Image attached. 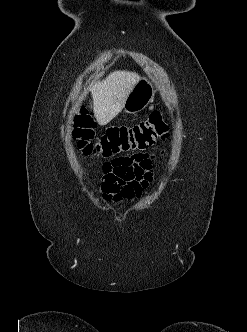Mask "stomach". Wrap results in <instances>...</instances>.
Listing matches in <instances>:
<instances>
[{
  "mask_svg": "<svg viewBox=\"0 0 247 332\" xmlns=\"http://www.w3.org/2000/svg\"><path fill=\"white\" fill-rule=\"evenodd\" d=\"M155 87L147 77H141L130 91L123 105L125 113L135 114L146 108L154 99Z\"/></svg>",
  "mask_w": 247,
  "mask_h": 332,
  "instance_id": "obj_1",
  "label": "stomach"
}]
</instances>
